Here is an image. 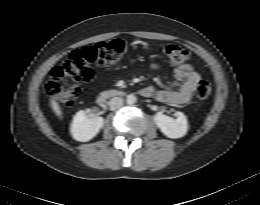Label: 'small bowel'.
Listing matches in <instances>:
<instances>
[{"label": "small bowel", "mask_w": 260, "mask_h": 205, "mask_svg": "<svg viewBox=\"0 0 260 205\" xmlns=\"http://www.w3.org/2000/svg\"><path fill=\"white\" fill-rule=\"evenodd\" d=\"M152 69L157 70L159 66L152 64ZM200 75L190 64L184 63L174 69L171 85L167 89L155 90L151 86L141 89L140 93L144 97H153L158 102L170 105H184L190 102L192 92Z\"/></svg>", "instance_id": "small-bowel-1"}]
</instances>
